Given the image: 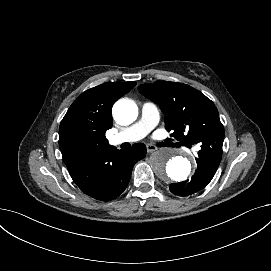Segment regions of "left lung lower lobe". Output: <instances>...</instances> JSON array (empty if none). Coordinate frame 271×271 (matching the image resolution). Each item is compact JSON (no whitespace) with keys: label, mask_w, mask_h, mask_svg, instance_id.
Wrapping results in <instances>:
<instances>
[{"label":"left lung lower lobe","mask_w":271,"mask_h":271,"mask_svg":"<svg viewBox=\"0 0 271 271\" xmlns=\"http://www.w3.org/2000/svg\"><path fill=\"white\" fill-rule=\"evenodd\" d=\"M198 156L196 158L197 170L191 180L169 185L173 194L178 196L191 195L203 189L212 180L220 164L222 153L211 152L201 147Z\"/></svg>","instance_id":"obj_1"}]
</instances>
